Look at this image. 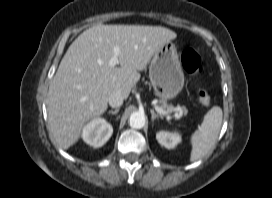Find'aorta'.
Returning a JSON list of instances; mask_svg holds the SVG:
<instances>
[{
	"label": "aorta",
	"mask_w": 272,
	"mask_h": 198,
	"mask_svg": "<svg viewBox=\"0 0 272 198\" xmlns=\"http://www.w3.org/2000/svg\"><path fill=\"white\" fill-rule=\"evenodd\" d=\"M129 125L134 129H141L145 125V116L143 113L134 112L130 115Z\"/></svg>",
	"instance_id": "1"
}]
</instances>
